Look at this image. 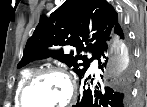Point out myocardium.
Listing matches in <instances>:
<instances>
[{
    "mask_svg": "<svg viewBox=\"0 0 147 107\" xmlns=\"http://www.w3.org/2000/svg\"><path fill=\"white\" fill-rule=\"evenodd\" d=\"M47 74H55V75L61 76L62 78L66 80L69 86V95L67 100L60 106H56V107H67L74 102L77 95V86H76L75 80L66 71H64L63 69L59 67H47V68L39 69L33 72L31 76L28 78V80L26 81V83L24 84V86L22 87L20 91V95H19V103L21 104L22 107H30L27 105V101H26V94L29 88L38 78Z\"/></svg>",
    "mask_w": 147,
    "mask_h": 107,
    "instance_id": "obj_1",
    "label": "myocardium"
}]
</instances>
